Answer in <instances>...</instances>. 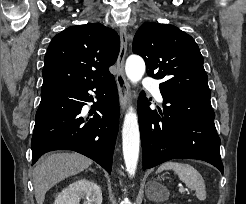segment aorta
Returning a JSON list of instances; mask_svg holds the SVG:
<instances>
[{"label": "aorta", "mask_w": 246, "mask_h": 204, "mask_svg": "<svg viewBox=\"0 0 246 204\" xmlns=\"http://www.w3.org/2000/svg\"><path fill=\"white\" fill-rule=\"evenodd\" d=\"M145 62L138 55H130L125 64V72L131 83L139 82L145 73ZM122 146L126 170L135 175L139 157L140 133L137 115L131 107L126 113L122 128Z\"/></svg>", "instance_id": "1"}]
</instances>
